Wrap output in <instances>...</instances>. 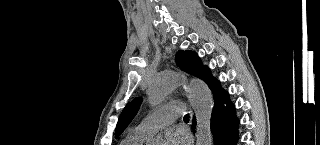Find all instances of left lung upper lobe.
<instances>
[{"instance_id": "5c2ea615", "label": "left lung upper lobe", "mask_w": 320, "mask_h": 145, "mask_svg": "<svg viewBox=\"0 0 320 145\" xmlns=\"http://www.w3.org/2000/svg\"><path fill=\"white\" fill-rule=\"evenodd\" d=\"M175 61L180 69L196 77L204 68V65H202L196 53L192 51H178L175 57ZM141 102L142 98L137 97L134 100H132L129 104H127L126 107L123 109L116 126V137L119 136L123 132V130L128 126V124L132 121V119L139 110Z\"/></svg>"}]
</instances>
